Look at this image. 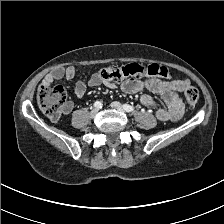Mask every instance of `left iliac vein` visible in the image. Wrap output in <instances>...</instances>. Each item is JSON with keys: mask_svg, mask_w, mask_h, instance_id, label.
Listing matches in <instances>:
<instances>
[{"mask_svg": "<svg viewBox=\"0 0 224 224\" xmlns=\"http://www.w3.org/2000/svg\"><path fill=\"white\" fill-rule=\"evenodd\" d=\"M110 106H111L112 108H114V109L123 110V106H122V104H121L120 102H117V101L112 102V103L110 104Z\"/></svg>", "mask_w": 224, "mask_h": 224, "instance_id": "1", "label": "left iliac vein"}]
</instances>
